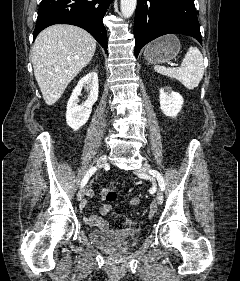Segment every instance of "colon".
Returning <instances> with one entry per match:
<instances>
[{
    "instance_id": "obj_1",
    "label": "colon",
    "mask_w": 240,
    "mask_h": 281,
    "mask_svg": "<svg viewBox=\"0 0 240 281\" xmlns=\"http://www.w3.org/2000/svg\"><path fill=\"white\" fill-rule=\"evenodd\" d=\"M104 197L106 201L113 202L117 197L116 188L114 184H110L104 191ZM114 224L117 228L121 230L127 231H138L140 229V225L128 219L125 215L118 214L114 218Z\"/></svg>"
}]
</instances>
